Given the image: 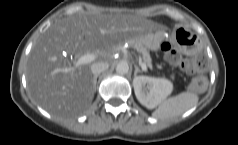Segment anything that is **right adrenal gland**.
I'll return each mask as SVG.
<instances>
[{"label":"right adrenal gland","instance_id":"obj_1","mask_svg":"<svg viewBox=\"0 0 238 145\" xmlns=\"http://www.w3.org/2000/svg\"><path fill=\"white\" fill-rule=\"evenodd\" d=\"M98 75L94 76V90L96 91V83H97Z\"/></svg>","mask_w":238,"mask_h":145}]
</instances>
